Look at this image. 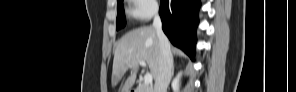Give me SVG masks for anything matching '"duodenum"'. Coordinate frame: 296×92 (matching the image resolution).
Instances as JSON below:
<instances>
[{
	"label": "duodenum",
	"mask_w": 296,
	"mask_h": 92,
	"mask_svg": "<svg viewBox=\"0 0 296 92\" xmlns=\"http://www.w3.org/2000/svg\"><path fill=\"white\" fill-rule=\"evenodd\" d=\"M130 92H142V90L139 89V87H135V88H132V89L130 90Z\"/></svg>",
	"instance_id": "1"
}]
</instances>
